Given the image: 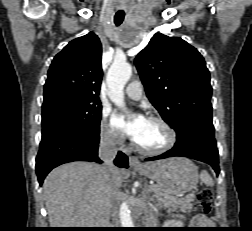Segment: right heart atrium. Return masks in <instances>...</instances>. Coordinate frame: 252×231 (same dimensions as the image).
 I'll return each instance as SVG.
<instances>
[{
	"label": "right heart atrium",
	"mask_w": 252,
	"mask_h": 231,
	"mask_svg": "<svg viewBox=\"0 0 252 231\" xmlns=\"http://www.w3.org/2000/svg\"><path fill=\"white\" fill-rule=\"evenodd\" d=\"M99 130H100V137L104 142L119 147L123 146L124 136L121 133H119L116 130V128L112 125L106 113L102 115Z\"/></svg>",
	"instance_id": "right-heart-atrium-1"
}]
</instances>
